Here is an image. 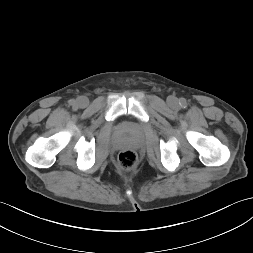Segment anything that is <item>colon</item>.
Here are the masks:
<instances>
[{
    "label": "colon",
    "mask_w": 253,
    "mask_h": 253,
    "mask_svg": "<svg viewBox=\"0 0 253 253\" xmlns=\"http://www.w3.org/2000/svg\"><path fill=\"white\" fill-rule=\"evenodd\" d=\"M137 163V154L130 149L123 150L118 155V166L122 171H129Z\"/></svg>",
    "instance_id": "5ec220e1"
}]
</instances>
